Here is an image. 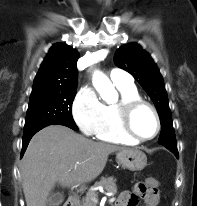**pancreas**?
<instances>
[{
    "label": "pancreas",
    "mask_w": 197,
    "mask_h": 206,
    "mask_svg": "<svg viewBox=\"0 0 197 206\" xmlns=\"http://www.w3.org/2000/svg\"><path fill=\"white\" fill-rule=\"evenodd\" d=\"M116 179L113 177H107L96 183V186H103L107 191L116 193ZM97 205V193L95 191H89L82 199L81 206H96Z\"/></svg>",
    "instance_id": "1"
}]
</instances>
